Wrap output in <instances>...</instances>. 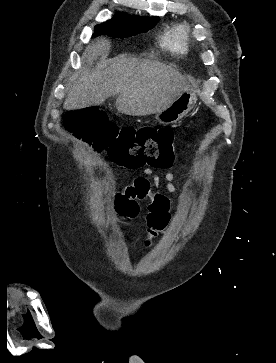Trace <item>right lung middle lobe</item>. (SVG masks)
<instances>
[{
	"label": "right lung middle lobe",
	"instance_id": "1",
	"mask_svg": "<svg viewBox=\"0 0 276 363\" xmlns=\"http://www.w3.org/2000/svg\"><path fill=\"white\" fill-rule=\"evenodd\" d=\"M158 17H136L126 13H116L115 17L95 27L94 35H108L111 37L133 36L146 32L156 25Z\"/></svg>",
	"mask_w": 276,
	"mask_h": 363
}]
</instances>
